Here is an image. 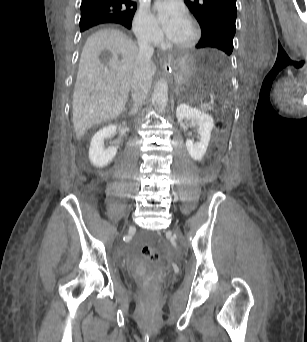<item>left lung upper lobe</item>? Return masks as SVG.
I'll use <instances>...</instances> for the list:
<instances>
[{
	"label": "left lung upper lobe",
	"mask_w": 307,
	"mask_h": 342,
	"mask_svg": "<svg viewBox=\"0 0 307 342\" xmlns=\"http://www.w3.org/2000/svg\"><path fill=\"white\" fill-rule=\"evenodd\" d=\"M184 1L201 27L202 37L196 47L217 48L231 55L236 32V0Z\"/></svg>",
	"instance_id": "obj_1"
}]
</instances>
